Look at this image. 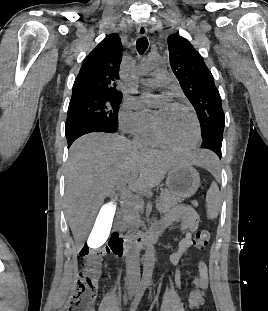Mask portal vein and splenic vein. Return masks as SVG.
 <instances>
[{
    "mask_svg": "<svg viewBox=\"0 0 268 311\" xmlns=\"http://www.w3.org/2000/svg\"><path fill=\"white\" fill-rule=\"evenodd\" d=\"M127 182H128V180H124V181L121 182V184L119 186V188L123 192V197L124 198L131 197L130 191L125 188V185H126Z\"/></svg>",
    "mask_w": 268,
    "mask_h": 311,
    "instance_id": "obj_1",
    "label": "portal vein and splenic vein"
}]
</instances>
